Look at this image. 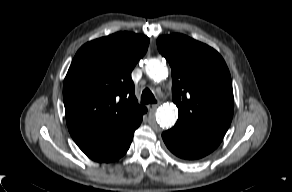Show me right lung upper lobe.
Here are the masks:
<instances>
[{
	"mask_svg": "<svg viewBox=\"0 0 292 192\" xmlns=\"http://www.w3.org/2000/svg\"><path fill=\"white\" fill-rule=\"evenodd\" d=\"M149 45L147 36L118 32L90 41L76 53L63 85L71 136L102 134L143 116L131 72Z\"/></svg>",
	"mask_w": 292,
	"mask_h": 192,
	"instance_id": "right-lung-upper-lobe-1",
	"label": "right lung upper lobe"
}]
</instances>
